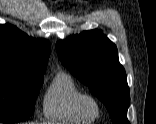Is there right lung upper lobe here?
<instances>
[{
  "label": "right lung upper lobe",
  "mask_w": 156,
  "mask_h": 124,
  "mask_svg": "<svg viewBox=\"0 0 156 124\" xmlns=\"http://www.w3.org/2000/svg\"><path fill=\"white\" fill-rule=\"evenodd\" d=\"M50 51L47 40L29 37L10 24L0 25V70L43 75Z\"/></svg>",
  "instance_id": "right-lung-upper-lobe-1"
}]
</instances>
